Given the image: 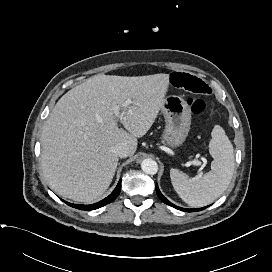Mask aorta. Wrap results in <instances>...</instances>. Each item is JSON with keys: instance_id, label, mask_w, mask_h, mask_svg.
Returning a JSON list of instances; mask_svg holds the SVG:
<instances>
[{"instance_id": "762f6f07", "label": "aorta", "mask_w": 272, "mask_h": 272, "mask_svg": "<svg viewBox=\"0 0 272 272\" xmlns=\"http://www.w3.org/2000/svg\"><path fill=\"white\" fill-rule=\"evenodd\" d=\"M141 169L143 172L149 175H154L158 172V164L153 159H144L141 163Z\"/></svg>"}]
</instances>
